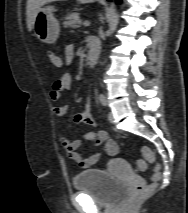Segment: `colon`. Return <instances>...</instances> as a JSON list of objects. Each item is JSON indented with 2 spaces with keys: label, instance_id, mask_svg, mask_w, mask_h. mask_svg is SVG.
Segmentation results:
<instances>
[{
  "label": "colon",
  "instance_id": "1",
  "mask_svg": "<svg viewBox=\"0 0 188 213\" xmlns=\"http://www.w3.org/2000/svg\"><path fill=\"white\" fill-rule=\"evenodd\" d=\"M48 57L54 63L58 64V59H57L56 54H54L53 52H48ZM142 153L149 162L156 161L155 154L148 147H142ZM145 168H146V165L143 161H138L136 163L137 172H142L145 170ZM159 174H160V170H159V167L157 166L153 173V179H157ZM151 191H152V186H147V185H143V184L138 185V187L135 189V191L132 195L131 203L132 204L140 203L150 194Z\"/></svg>",
  "mask_w": 188,
  "mask_h": 213
}]
</instances>
